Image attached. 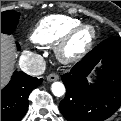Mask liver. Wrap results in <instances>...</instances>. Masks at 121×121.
Segmentation results:
<instances>
[{
	"label": "liver",
	"mask_w": 121,
	"mask_h": 121,
	"mask_svg": "<svg viewBox=\"0 0 121 121\" xmlns=\"http://www.w3.org/2000/svg\"><path fill=\"white\" fill-rule=\"evenodd\" d=\"M15 57L16 52L11 38L1 34V88L10 78Z\"/></svg>",
	"instance_id": "obj_1"
}]
</instances>
